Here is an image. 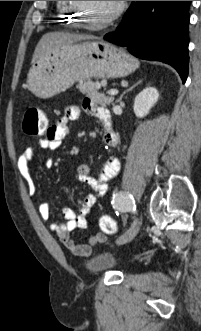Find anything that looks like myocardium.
Returning <instances> with one entry per match:
<instances>
[{
    "mask_svg": "<svg viewBox=\"0 0 201 331\" xmlns=\"http://www.w3.org/2000/svg\"><path fill=\"white\" fill-rule=\"evenodd\" d=\"M70 6L76 12V17L82 24L92 27H105L114 22L122 14L125 7V1H118L115 10L97 24H91L84 18L82 6L79 1H70Z\"/></svg>",
    "mask_w": 201,
    "mask_h": 331,
    "instance_id": "myocardium-1",
    "label": "myocardium"
}]
</instances>
